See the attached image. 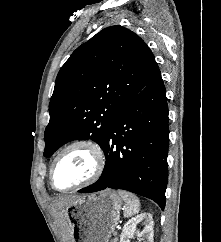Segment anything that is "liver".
Returning a JSON list of instances; mask_svg holds the SVG:
<instances>
[{"instance_id": "1", "label": "liver", "mask_w": 221, "mask_h": 242, "mask_svg": "<svg viewBox=\"0 0 221 242\" xmlns=\"http://www.w3.org/2000/svg\"><path fill=\"white\" fill-rule=\"evenodd\" d=\"M77 198L78 196L61 198L55 201L52 205V210L55 213L58 223L61 225L63 229H65L66 235L64 239L66 241H70L72 238L71 226L69 223L66 210L69 207V205L72 204L73 201H75Z\"/></svg>"}]
</instances>
